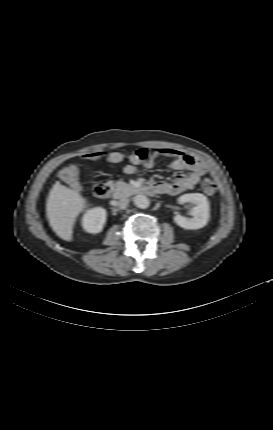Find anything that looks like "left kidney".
Returning a JSON list of instances; mask_svg holds the SVG:
<instances>
[{"label": "left kidney", "instance_id": "left-kidney-1", "mask_svg": "<svg viewBox=\"0 0 273 430\" xmlns=\"http://www.w3.org/2000/svg\"><path fill=\"white\" fill-rule=\"evenodd\" d=\"M179 203H191L192 207L190 214L192 218H186L182 215L174 216V221L177 225L188 230H197L204 227L210 218V205L208 198L200 193L184 194L178 198Z\"/></svg>", "mask_w": 273, "mask_h": 430}]
</instances>
